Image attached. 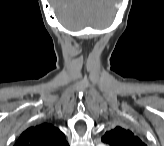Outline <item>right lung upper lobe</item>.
<instances>
[{
  "mask_svg": "<svg viewBox=\"0 0 164 146\" xmlns=\"http://www.w3.org/2000/svg\"><path fill=\"white\" fill-rule=\"evenodd\" d=\"M65 135L53 125L43 123L24 131L15 146H67Z\"/></svg>",
  "mask_w": 164,
  "mask_h": 146,
  "instance_id": "1",
  "label": "right lung upper lobe"
}]
</instances>
